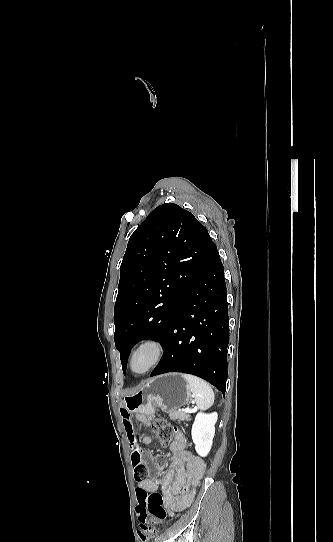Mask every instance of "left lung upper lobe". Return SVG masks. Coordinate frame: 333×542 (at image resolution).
Segmentation results:
<instances>
[{
  "instance_id": "1",
  "label": "left lung upper lobe",
  "mask_w": 333,
  "mask_h": 542,
  "mask_svg": "<svg viewBox=\"0 0 333 542\" xmlns=\"http://www.w3.org/2000/svg\"><path fill=\"white\" fill-rule=\"evenodd\" d=\"M212 245L207 229L173 203L155 208L131 235L114 311V340L124 374L137 342L152 337L163 343Z\"/></svg>"
}]
</instances>
